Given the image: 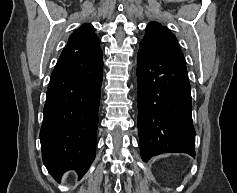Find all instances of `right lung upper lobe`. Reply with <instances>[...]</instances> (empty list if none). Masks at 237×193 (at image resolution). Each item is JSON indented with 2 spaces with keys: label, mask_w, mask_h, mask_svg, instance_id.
<instances>
[{
  "label": "right lung upper lobe",
  "mask_w": 237,
  "mask_h": 193,
  "mask_svg": "<svg viewBox=\"0 0 237 193\" xmlns=\"http://www.w3.org/2000/svg\"><path fill=\"white\" fill-rule=\"evenodd\" d=\"M100 39L91 24H83L69 37L65 52L80 56H93L102 53Z\"/></svg>",
  "instance_id": "1"
}]
</instances>
